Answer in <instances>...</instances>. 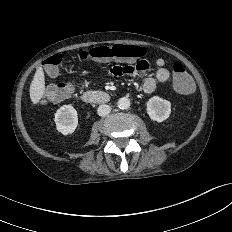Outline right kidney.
Instances as JSON below:
<instances>
[{"label": "right kidney", "mask_w": 232, "mask_h": 232, "mask_svg": "<svg viewBox=\"0 0 232 232\" xmlns=\"http://www.w3.org/2000/svg\"><path fill=\"white\" fill-rule=\"evenodd\" d=\"M54 121L58 132L72 134L78 126V114L72 105H63L55 113Z\"/></svg>", "instance_id": "1"}]
</instances>
